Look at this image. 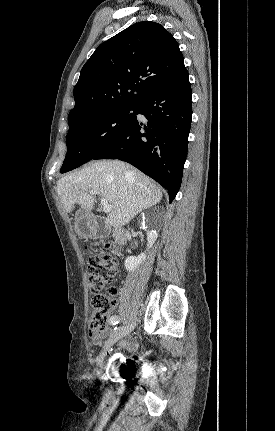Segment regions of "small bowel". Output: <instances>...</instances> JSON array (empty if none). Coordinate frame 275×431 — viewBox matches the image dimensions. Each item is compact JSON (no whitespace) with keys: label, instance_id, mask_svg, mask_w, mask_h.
I'll return each mask as SVG.
<instances>
[{"label":"small bowel","instance_id":"obj_1","mask_svg":"<svg viewBox=\"0 0 275 431\" xmlns=\"http://www.w3.org/2000/svg\"><path fill=\"white\" fill-rule=\"evenodd\" d=\"M109 332H110L109 327H107L104 331H102L100 333H91L90 332L91 342L94 345H100L102 343V340L109 334Z\"/></svg>","mask_w":275,"mask_h":431}]
</instances>
